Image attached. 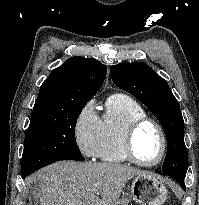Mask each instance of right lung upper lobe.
<instances>
[{"label": "right lung upper lobe", "mask_w": 199, "mask_h": 205, "mask_svg": "<svg viewBox=\"0 0 199 205\" xmlns=\"http://www.w3.org/2000/svg\"><path fill=\"white\" fill-rule=\"evenodd\" d=\"M106 73V67L95 59L69 58L43 82L33 112L54 105L90 100L102 86Z\"/></svg>", "instance_id": "obj_1"}]
</instances>
